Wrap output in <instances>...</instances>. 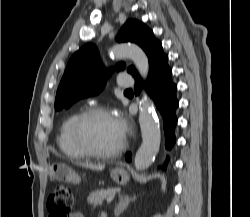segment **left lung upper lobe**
Segmentation results:
<instances>
[{"mask_svg":"<svg viewBox=\"0 0 250 217\" xmlns=\"http://www.w3.org/2000/svg\"><path fill=\"white\" fill-rule=\"evenodd\" d=\"M116 40L138 44L150 60L156 46L160 43L153 32L143 23L130 19L121 27ZM125 63L115 66L123 70ZM113 68L109 73H112ZM134 77V67L127 69ZM108 71L104 68L95 45L88 43L81 47L69 60L56 93L55 110L69 108L82 98L99 94L106 84Z\"/></svg>","mask_w":250,"mask_h":217,"instance_id":"left-lung-upper-lobe-1","label":"left lung upper lobe"}]
</instances>
